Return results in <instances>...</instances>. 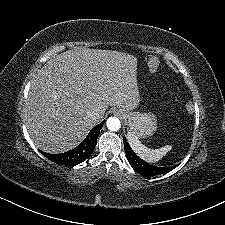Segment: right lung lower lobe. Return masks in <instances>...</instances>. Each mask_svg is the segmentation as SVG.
Masks as SVG:
<instances>
[{"label": "right lung lower lobe", "mask_w": 225, "mask_h": 225, "mask_svg": "<svg viewBox=\"0 0 225 225\" xmlns=\"http://www.w3.org/2000/svg\"><path fill=\"white\" fill-rule=\"evenodd\" d=\"M104 122H101L97 126H95L84 139V141L78 145L76 148L61 154H49L40 151L45 157L50 159L51 161L67 166H74L83 161H85L93 152L97 138L99 136L100 130L104 125Z\"/></svg>", "instance_id": "1"}]
</instances>
